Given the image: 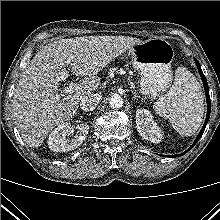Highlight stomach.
Returning <instances> with one entry per match:
<instances>
[{"label":"stomach","mask_w":220,"mask_h":220,"mask_svg":"<svg viewBox=\"0 0 220 220\" xmlns=\"http://www.w3.org/2000/svg\"><path fill=\"white\" fill-rule=\"evenodd\" d=\"M132 65L139 74L140 92L156 99L172 83L171 63L174 59L172 45L164 39H150L133 45L128 50Z\"/></svg>","instance_id":"0dacf381"}]
</instances>
